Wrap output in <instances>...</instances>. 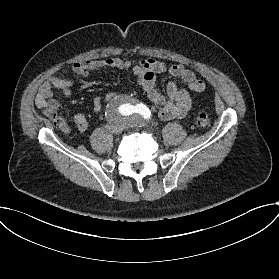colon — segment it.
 <instances>
[{"label": "colon", "instance_id": "colon-1", "mask_svg": "<svg viewBox=\"0 0 279 279\" xmlns=\"http://www.w3.org/2000/svg\"><path fill=\"white\" fill-rule=\"evenodd\" d=\"M49 119L52 121V123L57 127L60 128L61 130L65 131V132H69L70 131V122L67 121L64 117L56 114V113H51L49 115ZM210 124V120H209V116L207 113H198L196 115V126L199 129H205L209 126Z\"/></svg>", "mask_w": 279, "mask_h": 279}]
</instances>
